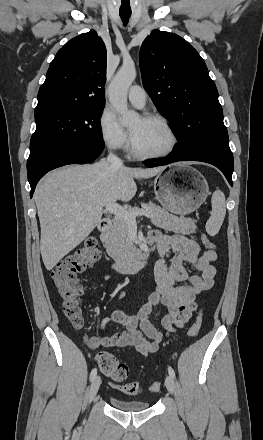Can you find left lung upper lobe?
<instances>
[{
  "mask_svg": "<svg viewBox=\"0 0 263 440\" xmlns=\"http://www.w3.org/2000/svg\"><path fill=\"white\" fill-rule=\"evenodd\" d=\"M144 88L179 139L175 150L196 156L229 147L218 91L198 52L180 36L153 31L142 43Z\"/></svg>",
  "mask_w": 263,
  "mask_h": 440,
  "instance_id": "5c2ea615",
  "label": "left lung upper lobe"
}]
</instances>
